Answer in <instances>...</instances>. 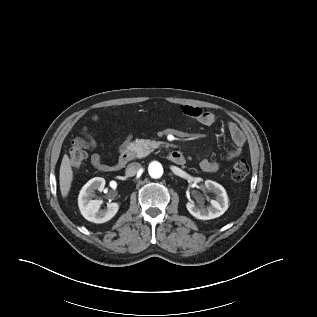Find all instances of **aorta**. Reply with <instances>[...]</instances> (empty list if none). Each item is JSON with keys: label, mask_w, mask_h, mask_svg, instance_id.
Instances as JSON below:
<instances>
[{"label": "aorta", "mask_w": 317, "mask_h": 317, "mask_svg": "<svg viewBox=\"0 0 317 317\" xmlns=\"http://www.w3.org/2000/svg\"><path fill=\"white\" fill-rule=\"evenodd\" d=\"M149 174L152 178H160L163 174V167L159 162H152L148 168Z\"/></svg>", "instance_id": "aorta-1"}]
</instances>
